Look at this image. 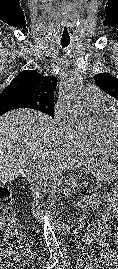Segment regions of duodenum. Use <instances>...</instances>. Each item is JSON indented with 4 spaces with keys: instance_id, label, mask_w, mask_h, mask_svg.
Returning a JSON list of instances; mask_svg holds the SVG:
<instances>
[{
    "instance_id": "duodenum-1",
    "label": "duodenum",
    "mask_w": 118,
    "mask_h": 269,
    "mask_svg": "<svg viewBox=\"0 0 118 269\" xmlns=\"http://www.w3.org/2000/svg\"><path fill=\"white\" fill-rule=\"evenodd\" d=\"M34 193H37L36 190H34ZM34 210H35V213L37 215V218L40 219L41 221H44L45 219V214L41 208L40 205L38 204H35L34 205ZM54 225L55 227L57 228V230L64 234V235H69L71 234V232L73 231L74 229V226L71 222H68V221H55L54 222Z\"/></svg>"
}]
</instances>
